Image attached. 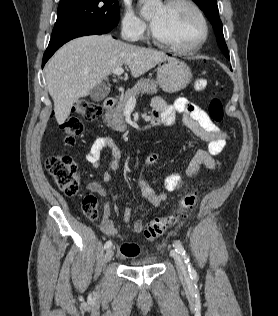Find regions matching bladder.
<instances>
[{
	"mask_svg": "<svg viewBox=\"0 0 278 316\" xmlns=\"http://www.w3.org/2000/svg\"><path fill=\"white\" fill-rule=\"evenodd\" d=\"M157 263L155 258H145L134 260L130 263L132 267H151Z\"/></svg>",
	"mask_w": 278,
	"mask_h": 316,
	"instance_id": "31cf9c89",
	"label": "bladder"
}]
</instances>
